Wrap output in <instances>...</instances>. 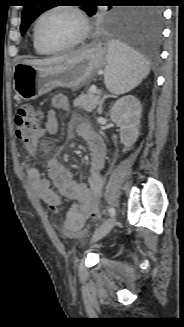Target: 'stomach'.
I'll list each match as a JSON object with an SVG mask.
<instances>
[{
	"mask_svg": "<svg viewBox=\"0 0 184 327\" xmlns=\"http://www.w3.org/2000/svg\"><path fill=\"white\" fill-rule=\"evenodd\" d=\"M107 53V45L99 42L57 64L17 63L13 69V89L24 101L34 100L55 87L78 90L103 69Z\"/></svg>",
	"mask_w": 184,
	"mask_h": 327,
	"instance_id": "stomach-1",
	"label": "stomach"
}]
</instances>
